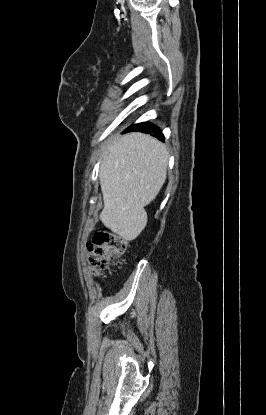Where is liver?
Returning a JSON list of instances; mask_svg holds the SVG:
<instances>
[{"instance_id": "1", "label": "liver", "mask_w": 266, "mask_h": 415, "mask_svg": "<svg viewBox=\"0 0 266 415\" xmlns=\"http://www.w3.org/2000/svg\"><path fill=\"white\" fill-rule=\"evenodd\" d=\"M168 159L166 146L150 135L115 136L103 152L99 174L105 227L126 241L137 238L147 224L144 207L166 180Z\"/></svg>"}]
</instances>
